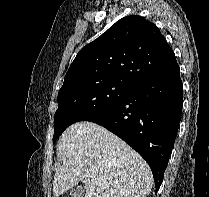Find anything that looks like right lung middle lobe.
Segmentation results:
<instances>
[{"label":"right lung middle lobe","instance_id":"right-lung-middle-lobe-1","mask_svg":"<svg viewBox=\"0 0 209 197\" xmlns=\"http://www.w3.org/2000/svg\"><path fill=\"white\" fill-rule=\"evenodd\" d=\"M133 86L115 80L87 81L62 87L54 117L55 142L71 124L83 121L125 98Z\"/></svg>","mask_w":209,"mask_h":197}]
</instances>
